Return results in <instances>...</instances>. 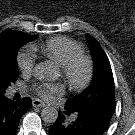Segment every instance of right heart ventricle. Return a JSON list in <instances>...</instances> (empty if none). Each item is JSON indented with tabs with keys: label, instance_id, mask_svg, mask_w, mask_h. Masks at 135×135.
<instances>
[{
	"label": "right heart ventricle",
	"instance_id": "1",
	"mask_svg": "<svg viewBox=\"0 0 135 135\" xmlns=\"http://www.w3.org/2000/svg\"><path fill=\"white\" fill-rule=\"evenodd\" d=\"M33 51H40L47 59L58 66L64 65L74 56L83 53V47L73 39L57 36L45 41L41 46L32 44Z\"/></svg>",
	"mask_w": 135,
	"mask_h": 135
}]
</instances>
